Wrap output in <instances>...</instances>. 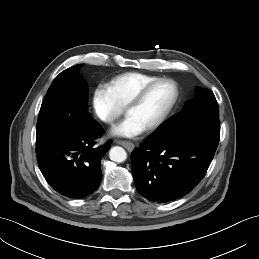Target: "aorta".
<instances>
[{
  "label": "aorta",
  "instance_id": "1",
  "mask_svg": "<svg viewBox=\"0 0 259 259\" xmlns=\"http://www.w3.org/2000/svg\"><path fill=\"white\" fill-rule=\"evenodd\" d=\"M109 157L112 161L121 163L124 162L127 158V153L126 151L119 146H115L110 149L109 151Z\"/></svg>",
  "mask_w": 259,
  "mask_h": 259
}]
</instances>
